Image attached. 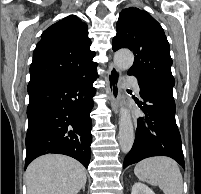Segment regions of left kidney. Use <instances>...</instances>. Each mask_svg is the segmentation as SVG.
Here are the masks:
<instances>
[{
	"instance_id": "1",
	"label": "left kidney",
	"mask_w": 201,
	"mask_h": 194,
	"mask_svg": "<svg viewBox=\"0 0 201 194\" xmlns=\"http://www.w3.org/2000/svg\"><path fill=\"white\" fill-rule=\"evenodd\" d=\"M131 194H155L147 185L137 182L132 187Z\"/></svg>"
}]
</instances>
